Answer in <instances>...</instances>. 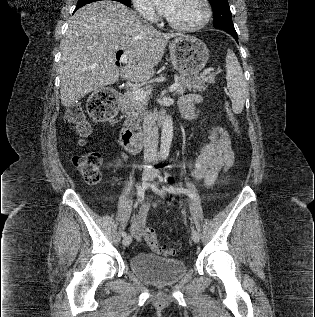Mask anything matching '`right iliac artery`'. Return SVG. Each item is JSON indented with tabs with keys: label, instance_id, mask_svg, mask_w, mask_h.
Returning <instances> with one entry per match:
<instances>
[{
	"label": "right iliac artery",
	"instance_id": "obj_1",
	"mask_svg": "<svg viewBox=\"0 0 315 317\" xmlns=\"http://www.w3.org/2000/svg\"><path fill=\"white\" fill-rule=\"evenodd\" d=\"M145 187H140L138 189V192H137V197H138V203H142L144 201V196H145ZM126 232H122V236L123 237H126Z\"/></svg>",
	"mask_w": 315,
	"mask_h": 317
}]
</instances>
